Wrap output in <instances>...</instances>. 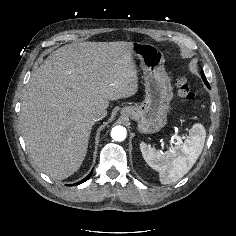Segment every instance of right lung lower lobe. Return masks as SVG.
I'll return each instance as SVG.
<instances>
[{"mask_svg": "<svg viewBox=\"0 0 236 236\" xmlns=\"http://www.w3.org/2000/svg\"><path fill=\"white\" fill-rule=\"evenodd\" d=\"M91 175H92V172L86 178H84L82 181H80V182H78L76 184H80V183L85 182L86 180H88L90 178Z\"/></svg>", "mask_w": 236, "mask_h": 236, "instance_id": "right-lung-lower-lobe-1", "label": "right lung lower lobe"}]
</instances>
